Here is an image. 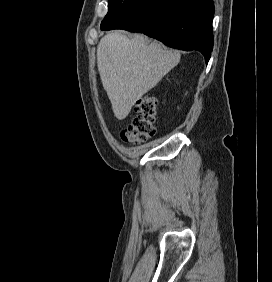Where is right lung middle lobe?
Listing matches in <instances>:
<instances>
[{
  "label": "right lung middle lobe",
  "instance_id": "1",
  "mask_svg": "<svg viewBox=\"0 0 272 282\" xmlns=\"http://www.w3.org/2000/svg\"><path fill=\"white\" fill-rule=\"evenodd\" d=\"M136 1L137 0H108V13L101 23V28L107 26L111 21L126 11Z\"/></svg>",
  "mask_w": 272,
  "mask_h": 282
}]
</instances>
